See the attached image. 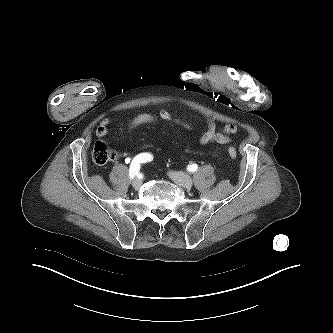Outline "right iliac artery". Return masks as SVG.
<instances>
[{"instance_id":"obj_1","label":"right iliac artery","mask_w":333,"mask_h":333,"mask_svg":"<svg viewBox=\"0 0 333 333\" xmlns=\"http://www.w3.org/2000/svg\"><path fill=\"white\" fill-rule=\"evenodd\" d=\"M153 156L150 153H141L137 155L131 162L130 168H129V177L130 179H133L140 170V164L145 162L152 161ZM130 161V159H129Z\"/></svg>"}]
</instances>
